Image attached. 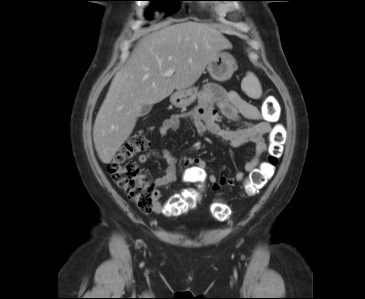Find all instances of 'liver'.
I'll use <instances>...</instances> for the list:
<instances>
[{
    "label": "liver",
    "instance_id": "6515ba94",
    "mask_svg": "<svg viewBox=\"0 0 365 299\" xmlns=\"http://www.w3.org/2000/svg\"><path fill=\"white\" fill-rule=\"evenodd\" d=\"M224 35L206 23L178 21L145 33L116 73L93 127L99 159L109 164L133 132L143 105L156 104L174 90L190 88L223 49ZM175 69L171 77L163 76Z\"/></svg>",
    "mask_w": 365,
    "mask_h": 299
}]
</instances>
